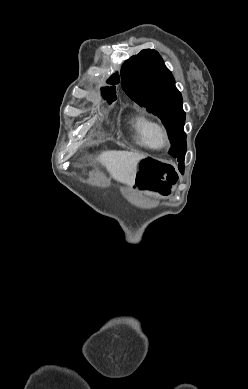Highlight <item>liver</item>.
<instances>
[{"label":"liver","instance_id":"obj_1","mask_svg":"<svg viewBox=\"0 0 248 389\" xmlns=\"http://www.w3.org/2000/svg\"><path fill=\"white\" fill-rule=\"evenodd\" d=\"M146 156L129 151H103L98 157L111 176L122 183L131 185L135 181L137 163Z\"/></svg>","mask_w":248,"mask_h":389}]
</instances>
